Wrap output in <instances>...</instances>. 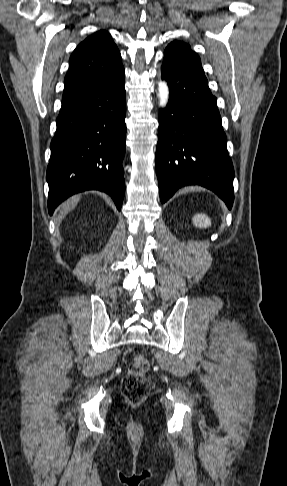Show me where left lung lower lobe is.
Instances as JSON below:
<instances>
[{
    "instance_id": "0a47b994",
    "label": "left lung lower lobe",
    "mask_w": 287,
    "mask_h": 486,
    "mask_svg": "<svg viewBox=\"0 0 287 486\" xmlns=\"http://www.w3.org/2000/svg\"><path fill=\"white\" fill-rule=\"evenodd\" d=\"M161 73L170 92L159 114L156 149L161 202L182 186L198 184L214 191L231 209L234 169L208 81L165 57Z\"/></svg>"
}]
</instances>
